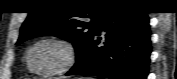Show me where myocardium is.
I'll use <instances>...</instances> for the list:
<instances>
[{
    "instance_id": "myocardium-1",
    "label": "myocardium",
    "mask_w": 177,
    "mask_h": 79,
    "mask_svg": "<svg viewBox=\"0 0 177 79\" xmlns=\"http://www.w3.org/2000/svg\"><path fill=\"white\" fill-rule=\"evenodd\" d=\"M47 42H52V43H56L60 45L65 51V59L63 63L56 69L52 71H41L34 66L33 61H32V53L37 46H39L42 43H47ZM76 60H77V50H76L75 45L71 41L64 39V38H59V37L42 38L38 40L37 42H35L27 53V65L29 69L32 72L39 74V75L50 76V75L61 74L67 71L69 68H71L76 62Z\"/></svg>"
}]
</instances>
